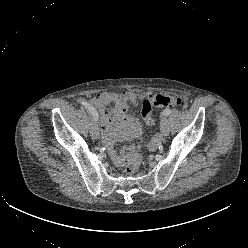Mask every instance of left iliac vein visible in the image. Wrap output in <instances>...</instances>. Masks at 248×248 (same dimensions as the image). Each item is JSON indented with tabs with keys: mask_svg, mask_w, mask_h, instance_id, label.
I'll return each instance as SVG.
<instances>
[{
	"mask_svg": "<svg viewBox=\"0 0 248 248\" xmlns=\"http://www.w3.org/2000/svg\"><path fill=\"white\" fill-rule=\"evenodd\" d=\"M160 129L164 136H167L169 134L168 122H167L166 117H162Z\"/></svg>",
	"mask_w": 248,
	"mask_h": 248,
	"instance_id": "left-iliac-vein-1",
	"label": "left iliac vein"
}]
</instances>
